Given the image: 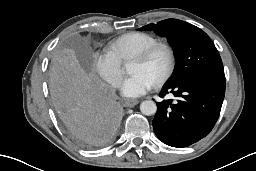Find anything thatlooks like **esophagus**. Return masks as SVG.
<instances>
[{"instance_id": "1", "label": "esophagus", "mask_w": 256, "mask_h": 171, "mask_svg": "<svg viewBox=\"0 0 256 171\" xmlns=\"http://www.w3.org/2000/svg\"><path fill=\"white\" fill-rule=\"evenodd\" d=\"M139 103V100L136 99H127L124 103L125 106L127 107H133Z\"/></svg>"}]
</instances>
